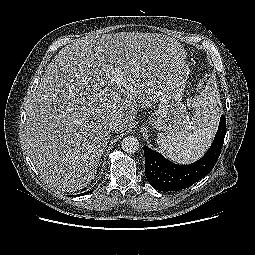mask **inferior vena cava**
<instances>
[{
    "label": "inferior vena cava",
    "instance_id": "602c4592",
    "mask_svg": "<svg viewBox=\"0 0 255 255\" xmlns=\"http://www.w3.org/2000/svg\"><path fill=\"white\" fill-rule=\"evenodd\" d=\"M118 126H119V122L116 119H112L108 123V129L111 131H115L118 128Z\"/></svg>",
    "mask_w": 255,
    "mask_h": 255
}]
</instances>
